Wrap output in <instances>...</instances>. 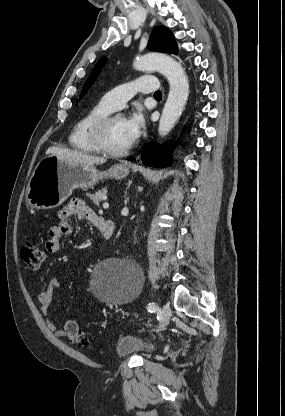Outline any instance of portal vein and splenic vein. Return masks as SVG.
I'll return each instance as SVG.
<instances>
[{"instance_id": "18ae733b", "label": "portal vein and splenic vein", "mask_w": 285, "mask_h": 416, "mask_svg": "<svg viewBox=\"0 0 285 416\" xmlns=\"http://www.w3.org/2000/svg\"><path fill=\"white\" fill-rule=\"evenodd\" d=\"M103 208H109V204H108V202H104V204H103Z\"/></svg>"}]
</instances>
